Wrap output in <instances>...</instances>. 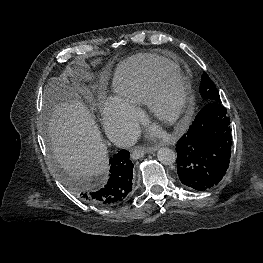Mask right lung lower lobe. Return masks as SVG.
<instances>
[{"label": "right lung lower lobe", "mask_w": 263, "mask_h": 263, "mask_svg": "<svg viewBox=\"0 0 263 263\" xmlns=\"http://www.w3.org/2000/svg\"><path fill=\"white\" fill-rule=\"evenodd\" d=\"M110 174L106 185L97 191L81 190L80 197L87 203L105 207L123 202L132 190L133 163L130 153L122 149L110 158Z\"/></svg>", "instance_id": "obj_1"}]
</instances>
